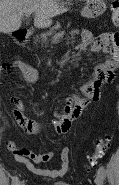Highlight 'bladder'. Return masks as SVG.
Segmentation results:
<instances>
[{
	"instance_id": "bladder-1",
	"label": "bladder",
	"mask_w": 119,
	"mask_h": 185,
	"mask_svg": "<svg viewBox=\"0 0 119 185\" xmlns=\"http://www.w3.org/2000/svg\"><path fill=\"white\" fill-rule=\"evenodd\" d=\"M54 185H71V184L68 182H58V183H55Z\"/></svg>"
}]
</instances>
